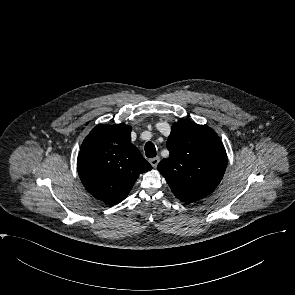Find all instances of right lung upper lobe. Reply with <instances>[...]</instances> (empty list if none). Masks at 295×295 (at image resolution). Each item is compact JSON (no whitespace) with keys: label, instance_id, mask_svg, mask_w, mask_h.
<instances>
[{"label":"right lung upper lobe","instance_id":"cb5924a9","mask_svg":"<svg viewBox=\"0 0 295 295\" xmlns=\"http://www.w3.org/2000/svg\"><path fill=\"white\" fill-rule=\"evenodd\" d=\"M131 126L98 125L84 139L78 155V174L96 199L114 205L124 200L141 173L151 165L131 143Z\"/></svg>","mask_w":295,"mask_h":295}]
</instances>
